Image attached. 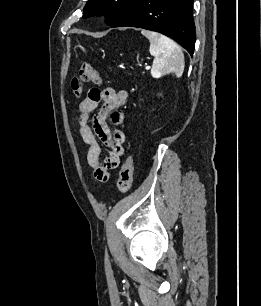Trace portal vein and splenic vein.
<instances>
[{
    "instance_id": "portal-vein-and-splenic-vein-1",
    "label": "portal vein and splenic vein",
    "mask_w": 261,
    "mask_h": 306,
    "mask_svg": "<svg viewBox=\"0 0 261 306\" xmlns=\"http://www.w3.org/2000/svg\"><path fill=\"white\" fill-rule=\"evenodd\" d=\"M145 69H146V70H149V69H150V66H149V65H146Z\"/></svg>"
}]
</instances>
